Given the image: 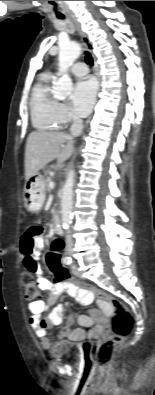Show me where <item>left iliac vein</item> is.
Segmentation results:
<instances>
[{"label": "left iliac vein", "mask_w": 155, "mask_h": 395, "mask_svg": "<svg viewBox=\"0 0 155 395\" xmlns=\"http://www.w3.org/2000/svg\"><path fill=\"white\" fill-rule=\"evenodd\" d=\"M72 273L76 277H80L79 271L77 269V266L75 264L72 265Z\"/></svg>", "instance_id": "obj_1"}]
</instances>
